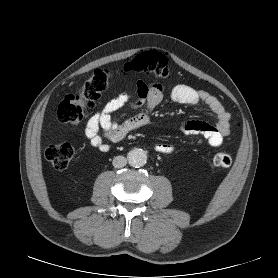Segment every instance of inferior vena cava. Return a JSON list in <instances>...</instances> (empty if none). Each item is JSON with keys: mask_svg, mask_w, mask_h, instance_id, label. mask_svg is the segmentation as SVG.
<instances>
[{"mask_svg": "<svg viewBox=\"0 0 278 278\" xmlns=\"http://www.w3.org/2000/svg\"><path fill=\"white\" fill-rule=\"evenodd\" d=\"M112 164L115 168H122L127 164V159L124 156L114 157Z\"/></svg>", "mask_w": 278, "mask_h": 278, "instance_id": "inferior-vena-cava-1", "label": "inferior vena cava"}]
</instances>
